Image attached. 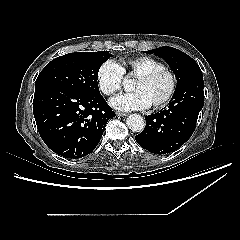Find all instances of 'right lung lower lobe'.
Returning a JSON list of instances; mask_svg holds the SVG:
<instances>
[{
    "mask_svg": "<svg viewBox=\"0 0 240 240\" xmlns=\"http://www.w3.org/2000/svg\"><path fill=\"white\" fill-rule=\"evenodd\" d=\"M33 113L46 145L74 159L94 150L107 121L115 116L100 93L86 94L62 86L35 87Z\"/></svg>",
    "mask_w": 240,
    "mask_h": 240,
    "instance_id": "98d812e1",
    "label": "right lung lower lobe"
}]
</instances>
